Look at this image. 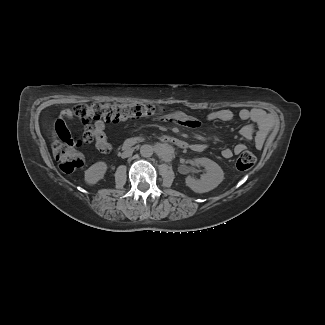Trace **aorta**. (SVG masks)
<instances>
[{"label": "aorta", "instance_id": "762f6f07", "mask_svg": "<svg viewBox=\"0 0 325 325\" xmlns=\"http://www.w3.org/2000/svg\"><path fill=\"white\" fill-rule=\"evenodd\" d=\"M153 152H154V148L148 144H144L140 148V154L145 158L151 157L153 155Z\"/></svg>", "mask_w": 325, "mask_h": 325}]
</instances>
